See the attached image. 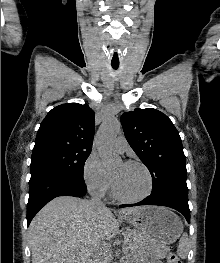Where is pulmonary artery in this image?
Masks as SVG:
<instances>
[{"instance_id": "obj_1", "label": "pulmonary artery", "mask_w": 220, "mask_h": 263, "mask_svg": "<svg viewBox=\"0 0 220 263\" xmlns=\"http://www.w3.org/2000/svg\"><path fill=\"white\" fill-rule=\"evenodd\" d=\"M114 148L117 152L123 153L128 149V142L124 136H118L114 140Z\"/></svg>"}]
</instances>
